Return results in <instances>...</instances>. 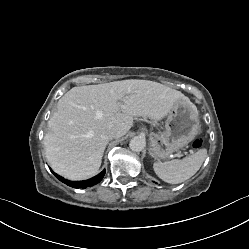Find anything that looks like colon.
<instances>
[{
	"label": "colon",
	"mask_w": 249,
	"mask_h": 249,
	"mask_svg": "<svg viewBox=\"0 0 249 249\" xmlns=\"http://www.w3.org/2000/svg\"><path fill=\"white\" fill-rule=\"evenodd\" d=\"M203 144V140L201 138H196L193 143H192V146L193 148L195 149H199Z\"/></svg>",
	"instance_id": "colon-1"
}]
</instances>
